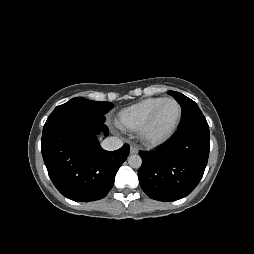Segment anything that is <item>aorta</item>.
<instances>
[{
    "label": "aorta",
    "mask_w": 254,
    "mask_h": 254,
    "mask_svg": "<svg viewBox=\"0 0 254 254\" xmlns=\"http://www.w3.org/2000/svg\"><path fill=\"white\" fill-rule=\"evenodd\" d=\"M128 164L132 167V168H140L141 164H142V159L139 155H130L128 157Z\"/></svg>",
    "instance_id": "aorta-1"
}]
</instances>
